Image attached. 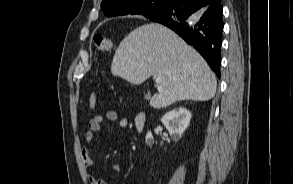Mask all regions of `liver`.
I'll return each mask as SVG.
<instances>
[{
    "label": "liver",
    "mask_w": 293,
    "mask_h": 184,
    "mask_svg": "<svg viewBox=\"0 0 293 184\" xmlns=\"http://www.w3.org/2000/svg\"><path fill=\"white\" fill-rule=\"evenodd\" d=\"M111 73L135 85L160 77L161 90L150 100L158 109L177 101L210 100L217 87L216 76L201 55L158 23L139 26L121 41Z\"/></svg>",
    "instance_id": "obj_1"
}]
</instances>
